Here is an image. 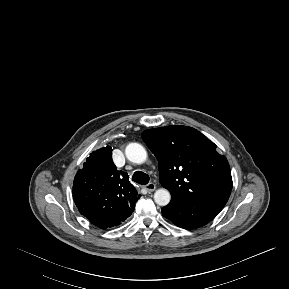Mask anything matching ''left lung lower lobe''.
I'll use <instances>...</instances> for the list:
<instances>
[{
	"instance_id": "obj_1",
	"label": "left lung lower lobe",
	"mask_w": 289,
	"mask_h": 289,
	"mask_svg": "<svg viewBox=\"0 0 289 289\" xmlns=\"http://www.w3.org/2000/svg\"><path fill=\"white\" fill-rule=\"evenodd\" d=\"M219 212L192 200L171 198L162 208V214L175 225L185 229H195L206 225Z\"/></svg>"
}]
</instances>
